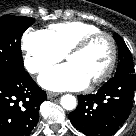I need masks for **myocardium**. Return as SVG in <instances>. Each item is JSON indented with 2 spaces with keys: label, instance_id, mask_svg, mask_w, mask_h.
Segmentation results:
<instances>
[{
  "label": "myocardium",
  "instance_id": "1",
  "mask_svg": "<svg viewBox=\"0 0 136 136\" xmlns=\"http://www.w3.org/2000/svg\"><path fill=\"white\" fill-rule=\"evenodd\" d=\"M100 37H106L109 40L110 46H111V58H110L109 64L106 67V69L99 76H97L96 78L91 80L89 82L90 85H98V84L104 82L105 80H107L110 77V75L114 71V68L117 63V57H118V48H117V44H116L114 37L110 33L104 32V31H98V32L89 34V35L83 37L82 39H80L75 45H73L67 51V53L65 55L66 59H68L72 55L83 52L96 39H98Z\"/></svg>",
  "mask_w": 136,
  "mask_h": 136
}]
</instances>
